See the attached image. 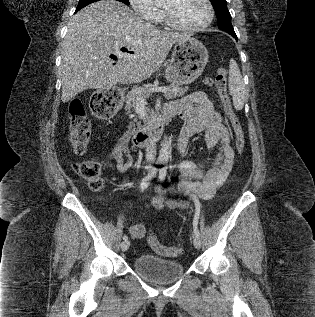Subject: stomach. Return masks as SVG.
Returning a JSON list of instances; mask_svg holds the SVG:
<instances>
[{"label":"stomach","mask_w":315,"mask_h":317,"mask_svg":"<svg viewBox=\"0 0 315 317\" xmlns=\"http://www.w3.org/2000/svg\"><path fill=\"white\" fill-rule=\"evenodd\" d=\"M208 58L206 47L197 39L190 37L179 41L173 49L165 77L176 85L192 83L202 74ZM107 94L113 95L114 89L108 88Z\"/></svg>","instance_id":"stomach-1"}]
</instances>
